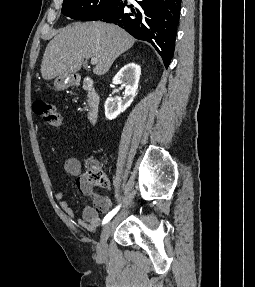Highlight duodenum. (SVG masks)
<instances>
[{
    "mask_svg": "<svg viewBox=\"0 0 255 287\" xmlns=\"http://www.w3.org/2000/svg\"><path fill=\"white\" fill-rule=\"evenodd\" d=\"M83 89L87 92V119L91 124H96L100 114V96L93 85L88 81H83Z\"/></svg>",
    "mask_w": 255,
    "mask_h": 287,
    "instance_id": "1",
    "label": "duodenum"
}]
</instances>
